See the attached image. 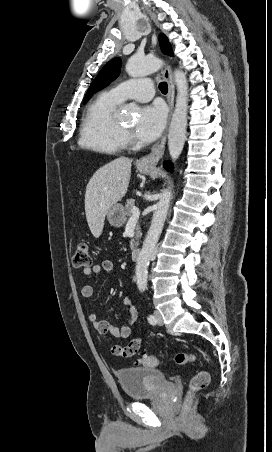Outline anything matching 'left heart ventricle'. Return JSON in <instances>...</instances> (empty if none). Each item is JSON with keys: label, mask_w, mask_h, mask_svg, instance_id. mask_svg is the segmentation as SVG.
<instances>
[{"label": "left heart ventricle", "mask_w": 272, "mask_h": 452, "mask_svg": "<svg viewBox=\"0 0 272 452\" xmlns=\"http://www.w3.org/2000/svg\"><path fill=\"white\" fill-rule=\"evenodd\" d=\"M124 126L126 127V128H131V124L130 123H126V124H124Z\"/></svg>", "instance_id": "1"}]
</instances>
